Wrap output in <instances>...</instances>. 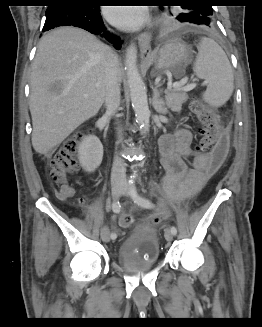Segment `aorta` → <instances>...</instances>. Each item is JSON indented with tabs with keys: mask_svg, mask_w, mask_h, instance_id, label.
I'll return each mask as SVG.
<instances>
[{
	"mask_svg": "<svg viewBox=\"0 0 262 327\" xmlns=\"http://www.w3.org/2000/svg\"><path fill=\"white\" fill-rule=\"evenodd\" d=\"M136 63L137 47L135 44H131L127 48L125 58L130 97L136 121L140 125L142 132L146 133L150 127V111L145 84L139 74Z\"/></svg>",
	"mask_w": 262,
	"mask_h": 327,
	"instance_id": "aorta-1",
	"label": "aorta"
}]
</instances>
